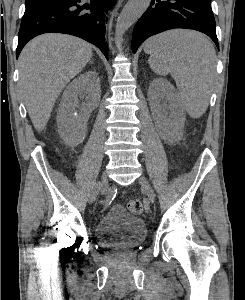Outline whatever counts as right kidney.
<instances>
[{"label":"right kidney","mask_w":245,"mask_h":300,"mask_svg":"<svg viewBox=\"0 0 245 300\" xmlns=\"http://www.w3.org/2000/svg\"><path fill=\"white\" fill-rule=\"evenodd\" d=\"M78 97L86 102L79 104ZM100 79L96 71H87L65 89L57 113L58 133L68 145L84 140L88 118L100 102Z\"/></svg>","instance_id":"obj_1"}]
</instances>
